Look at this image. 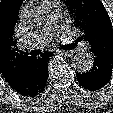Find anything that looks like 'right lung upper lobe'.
Segmentation results:
<instances>
[{
  "instance_id": "right-lung-upper-lobe-1",
  "label": "right lung upper lobe",
  "mask_w": 113,
  "mask_h": 113,
  "mask_svg": "<svg viewBox=\"0 0 113 113\" xmlns=\"http://www.w3.org/2000/svg\"><path fill=\"white\" fill-rule=\"evenodd\" d=\"M21 1H0V72L9 85L23 77L33 58L18 49L14 36Z\"/></svg>"
}]
</instances>
